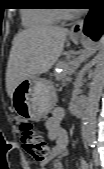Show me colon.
I'll use <instances>...</instances> for the list:
<instances>
[{
  "instance_id": "obj_1",
  "label": "colon",
  "mask_w": 104,
  "mask_h": 169,
  "mask_svg": "<svg viewBox=\"0 0 104 169\" xmlns=\"http://www.w3.org/2000/svg\"><path fill=\"white\" fill-rule=\"evenodd\" d=\"M20 139L24 150L37 162L46 160L50 147L41 132L30 123H22L19 128Z\"/></svg>"
}]
</instances>
